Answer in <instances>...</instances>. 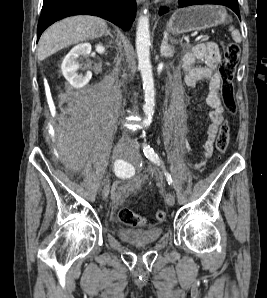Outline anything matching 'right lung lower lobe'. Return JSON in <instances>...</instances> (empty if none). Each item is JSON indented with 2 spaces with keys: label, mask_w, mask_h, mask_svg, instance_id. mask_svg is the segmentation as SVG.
Segmentation results:
<instances>
[{
  "label": "right lung lower lobe",
  "mask_w": 267,
  "mask_h": 298,
  "mask_svg": "<svg viewBox=\"0 0 267 298\" xmlns=\"http://www.w3.org/2000/svg\"><path fill=\"white\" fill-rule=\"evenodd\" d=\"M94 15L128 30L136 15L135 0H44L37 40L55 21L73 15Z\"/></svg>",
  "instance_id": "right-lung-lower-lobe-1"
}]
</instances>
